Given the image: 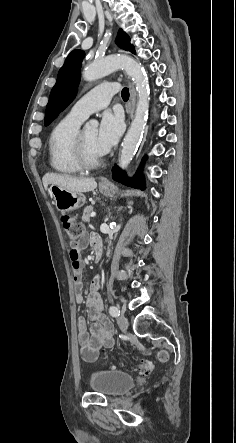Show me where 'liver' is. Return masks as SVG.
Listing matches in <instances>:
<instances>
[{
	"instance_id": "6515ba94",
	"label": "liver",
	"mask_w": 236,
	"mask_h": 443,
	"mask_svg": "<svg viewBox=\"0 0 236 443\" xmlns=\"http://www.w3.org/2000/svg\"><path fill=\"white\" fill-rule=\"evenodd\" d=\"M42 181L46 190L49 184H54L76 193L93 191L97 187V183L93 178H75L69 175L54 173L45 174Z\"/></svg>"
}]
</instances>
